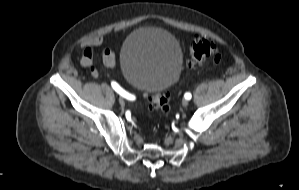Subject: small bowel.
<instances>
[{
  "instance_id": "c3829d8e",
  "label": "small bowel",
  "mask_w": 299,
  "mask_h": 190,
  "mask_svg": "<svg viewBox=\"0 0 299 190\" xmlns=\"http://www.w3.org/2000/svg\"><path fill=\"white\" fill-rule=\"evenodd\" d=\"M105 42L104 37L102 36H94L88 38L84 42V46L86 47L84 51V56H90L92 59L94 58L95 49L101 47ZM100 57L105 66L115 67L116 65V55L113 51L108 48H103L100 52Z\"/></svg>"
}]
</instances>
